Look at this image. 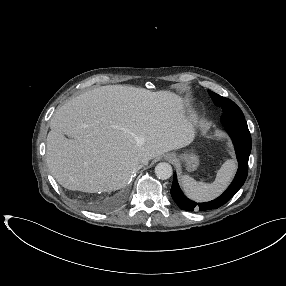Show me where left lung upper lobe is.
<instances>
[{"mask_svg": "<svg viewBox=\"0 0 286 286\" xmlns=\"http://www.w3.org/2000/svg\"><path fill=\"white\" fill-rule=\"evenodd\" d=\"M209 95L211 99L213 100L214 104L222 108L223 110L222 116L233 115V116L244 117L241 109L230 99L226 97H222L212 91H209Z\"/></svg>", "mask_w": 286, "mask_h": 286, "instance_id": "obj_1", "label": "left lung upper lobe"}]
</instances>
